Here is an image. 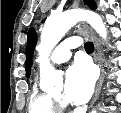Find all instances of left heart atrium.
Wrapping results in <instances>:
<instances>
[{
  "label": "left heart atrium",
  "instance_id": "1",
  "mask_svg": "<svg viewBox=\"0 0 121 113\" xmlns=\"http://www.w3.org/2000/svg\"><path fill=\"white\" fill-rule=\"evenodd\" d=\"M95 81L92 66L85 61H77L66 72L65 99L73 104H84L90 98Z\"/></svg>",
  "mask_w": 121,
  "mask_h": 113
}]
</instances>
